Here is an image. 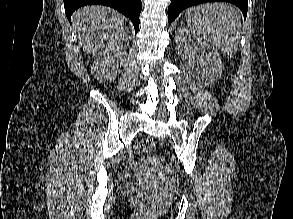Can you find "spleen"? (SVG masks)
<instances>
[{
    "label": "spleen",
    "mask_w": 293,
    "mask_h": 219,
    "mask_svg": "<svg viewBox=\"0 0 293 219\" xmlns=\"http://www.w3.org/2000/svg\"><path fill=\"white\" fill-rule=\"evenodd\" d=\"M185 19L191 33L233 55L239 44L241 19L236 8L227 3H207L187 10Z\"/></svg>",
    "instance_id": "3e777b00"
}]
</instances>
